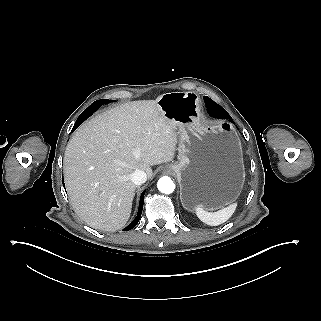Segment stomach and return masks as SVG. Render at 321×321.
Instances as JSON below:
<instances>
[{
    "label": "stomach",
    "instance_id": "0dacf381",
    "mask_svg": "<svg viewBox=\"0 0 321 321\" xmlns=\"http://www.w3.org/2000/svg\"><path fill=\"white\" fill-rule=\"evenodd\" d=\"M157 104L168 120L182 124L178 161L165 167L176 175L182 206L216 210L233 202L245 182L241 140L228 121L201 127L200 97L193 92L166 93Z\"/></svg>",
    "mask_w": 321,
    "mask_h": 321
}]
</instances>
